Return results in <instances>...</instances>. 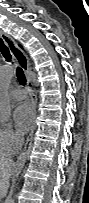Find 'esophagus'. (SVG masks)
<instances>
[{
  "instance_id": "1",
  "label": "esophagus",
  "mask_w": 89,
  "mask_h": 203,
  "mask_svg": "<svg viewBox=\"0 0 89 203\" xmlns=\"http://www.w3.org/2000/svg\"><path fill=\"white\" fill-rule=\"evenodd\" d=\"M0 38L4 41L6 46L9 48L12 56L14 57V59L16 60L18 65L27 74L30 69V61H29L28 57L25 55V53L17 46V43L15 42V40L11 36L6 34L5 32L0 31ZM27 85L31 91V103H32V108L34 110V120H33V124H32L31 130H30L29 136L26 141L24 151L20 154V156L18 157V160H17V170H19V171L24 166L25 161H26V159L29 155L30 149H31L32 137H33L34 130H35V118H36V112H37L36 111L37 93L33 86L32 81L30 80L29 77H27Z\"/></svg>"
}]
</instances>
